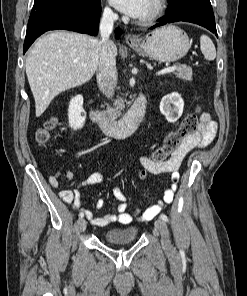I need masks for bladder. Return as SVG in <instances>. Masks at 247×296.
Returning a JSON list of instances; mask_svg holds the SVG:
<instances>
[{"label":"bladder","instance_id":"obj_1","mask_svg":"<svg viewBox=\"0 0 247 296\" xmlns=\"http://www.w3.org/2000/svg\"><path fill=\"white\" fill-rule=\"evenodd\" d=\"M138 234L136 226H126L122 228H114L105 232L104 240L111 244L133 242Z\"/></svg>","mask_w":247,"mask_h":296}]
</instances>
